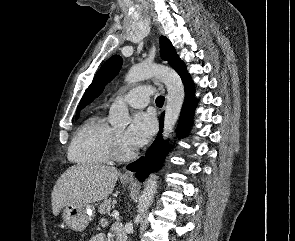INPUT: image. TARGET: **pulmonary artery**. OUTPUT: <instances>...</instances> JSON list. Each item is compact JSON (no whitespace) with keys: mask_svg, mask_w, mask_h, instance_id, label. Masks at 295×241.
I'll return each instance as SVG.
<instances>
[{"mask_svg":"<svg viewBox=\"0 0 295 241\" xmlns=\"http://www.w3.org/2000/svg\"><path fill=\"white\" fill-rule=\"evenodd\" d=\"M154 93V89L148 85H141L130 89L123 97V100L128 105L134 108L145 107L149 101L150 96Z\"/></svg>","mask_w":295,"mask_h":241,"instance_id":"1","label":"pulmonary artery"}]
</instances>
